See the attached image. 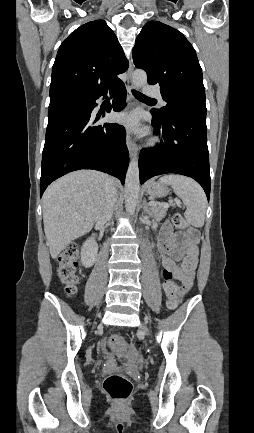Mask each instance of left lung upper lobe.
Wrapping results in <instances>:
<instances>
[{
  "instance_id": "left-lung-upper-lobe-1",
  "label": "left lung upper lobe",
  "mask_w": 254,
  "mask_h": 433,
  "mask_svg": "<svg viewBox=\"0 0 254 433\" xmlns=\"http://www.w3.org/2000/svg\"><path fill=\"white\" fill-rule=\"evenodd\" d=\"M133 61L146 71L149 84L161 87L167 105L153 109L158 117L179 110L206 114L202 69L181 32L159 21L147 22L136 39Z\"/></svg>"
}]
</instances>
